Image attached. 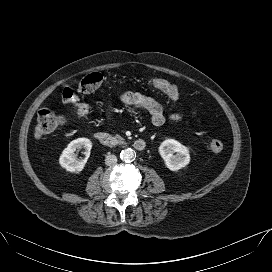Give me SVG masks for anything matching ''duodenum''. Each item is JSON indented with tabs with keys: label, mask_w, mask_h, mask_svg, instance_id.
Masks as SVG:
<instances>
[{
	"label": "duodenum",
	"mask_w": 272,
	"mask_h": 272,
	"mask_svg": "<svg viewBox=\"0 0 272 272\" xmlns=\"http://www.w3.org/2000/svg\"><path fill=\"white\" fill-rule=\"evenodd\" d=\"M97 141L108 148H114L117 146V140L107 132H97L95 135ZM147 146V143L144 139H137L134 142V148L137 151H143Z\"/></svg>",
	"instance_id": "obj_1"
}]
</instances>
